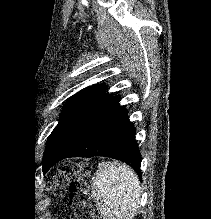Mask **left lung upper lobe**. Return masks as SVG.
<instances>
[{"instance_id":"obj_1","label":"left lung upper lobe","mask_w":211,"mask_h":219,"mask_svg":"<svg viewBox=\"0 0 211 219\" xmlns=\"http://www.w3.org/2000/svg\"><path fill=\"white\" fill-rule=\"evenodd\" d=\"M105 87L102 84L93 85L73 95L68 100L60 114L58 125L48 137L43 162L51 157L66 133L81 116L105 95Z\"/></svg>"}]
</instances>
